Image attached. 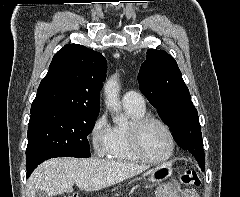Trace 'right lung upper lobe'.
Returning <instances> with one entry per match:
<instances>
[{"mask_svg":"<svg viewBox=\"0 0 240 197\" xmlns=\"http://www.w3.org/2000/svg\"><path fill=\"white\" fill-rule=\"evenodd\" d=\"M107 61L79 44H67L53 57L41 81L30 113L47 110L99 112L100 88Z\"/></svg>","mask_w":240,"mask_h":197,"instance_id":"1","label":"right lung upper lobe"}]
</instances>
